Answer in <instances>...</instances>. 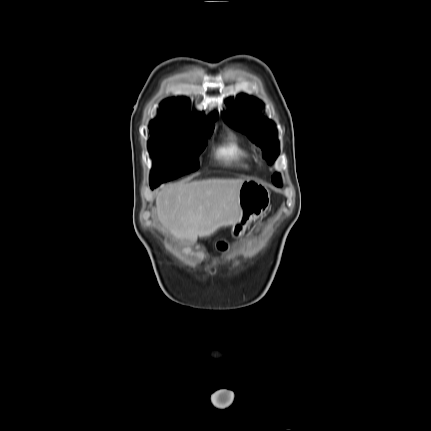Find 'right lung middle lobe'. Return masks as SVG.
<instances>
[{
    "mask_svg": "<svg viewBox=\"0 0 431 431\" xmlns=\"http://www.w3.org/2000/svg\"><path fill=\"white\" fill-rule=\"evenodd\" d=\"M213 128L214 125L203 130H188L151 124L148 148L154 166L150 183L159 185L198 169V156Z\"/></svg>",
    "mask_w": 431,
    "mask_h": 431,
    "instance_id": "dd1d6c3e",
    "label": "right lung middle lobe"
}]
</instances>
